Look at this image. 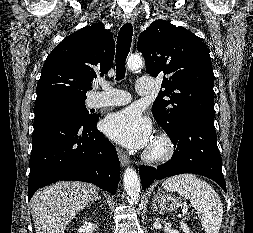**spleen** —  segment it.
I'll use <instances>...</instances> for the list:
<instances>
[{
  "label": "spleen",
  "mask_w": 253,
  "mask_h": 233,
  "mask_svg": "<svg viewBox=\"0 0 253 233\" xmlns=\"http://www.w3.org/2000/svg\"><path fill=\"white\" fill-rule=\"evenodd\" d=\"M162 186L167 191L178 192L190 200L194 208L202 213L201 224L206 233H219L223 204L208 183L193 174H182L167 179Z\"/></svg>",
  "instance_id": "obj_1"
}]
</instances>
